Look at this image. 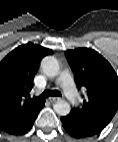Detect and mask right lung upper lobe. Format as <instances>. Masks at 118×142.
Returning <instances> with one entry per match:
<instances>
[{
	"instance_id": "right-lung-upper-lobe-1",
	"label": "right lung upper lobe",
	"mask_w": 118,
	"mask_h": 142,
	"mask_svg": "<svg viewBox=\"0 0 118 142\" xmlns=\"http://www.w3.org/2000/svg\"><path fill=\"white\" fill-rule=\"evenodd\" d=\"M51 51L24 44L0 62V128L15 134L35 118L42 101L29 95L39 61Z\"/></svg>"
}]
</instances>
